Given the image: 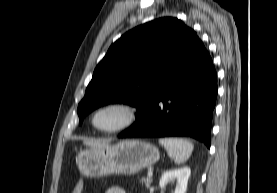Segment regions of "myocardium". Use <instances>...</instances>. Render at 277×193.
Returning <instances> with one entry per match:
<instances>
[{"label": "myocardium", "instance_id": "obj_1", "mask_svg": "<svg viewBox=\"0 0 277 193\" xmlns=\"http://www.w3.org/2000/svg\"><path fill=\"white\" fill-rule=\"evenodd\" d=\"M106 109L121 110L124 114V118L122 119V121L119 124H117L116 126H114L112 128H108V129L99 128L95 124V117L99 112L106 110ZM137 119H138V110H137L136 106L127 101H123V100H112V101L104 102V103L98 105L92 111V113L90 115V123H91L92 127L96 131H98L100 133H105V134H114V133L124 131V130L130 128L131 126H133L136 123Z\"/></svg>", "mask_w": 277, "mask_h": 193}]
</instances>
